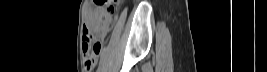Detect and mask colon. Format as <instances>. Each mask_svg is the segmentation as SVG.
Masks as SVG:
<instances>
[{
    "label": "colon",
    "mask_w": 267,
    "mask_h": 72,
    "mask_svg": "<svg viewBox=\"0 0 267 72\" xmlns=\"http://www.w3.org/2000/svg\"><path fill=\"white\" fill-rule=\"evenodd\" d=\"M118 4V0H95V5L97 6V11L100 13L98 28L103 29L107 28L112 18L116 12V5ZM84 48V67L93 66L97 64V56L101 49V44L99 41L93 39V37L88 34L83 38Z\"/></svg>",
    "instance_id": "obj_1"
}]
</instances>
